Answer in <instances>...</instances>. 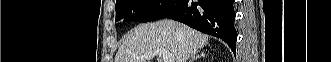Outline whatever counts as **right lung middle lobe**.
Returning a JSON list of instances; mask_svg holds the SVG:
<instances>
[{
  "label": "right lung middle lobe",
  "instance_id": "right-lung-middle-lobe-1",
  "mask_svg": "<svg viewBox=\"0 0 331 62\" xmlns=\"http://www.w3.org/2000/svg\"><path fill=\"white\" fill-rule=\"evenodd\" d=\"M180 0H118L116 19L150 22L163 18Z\"/></svg>",
  "mask_w": 331,
  "mask_h": 62
}]
</instances>
